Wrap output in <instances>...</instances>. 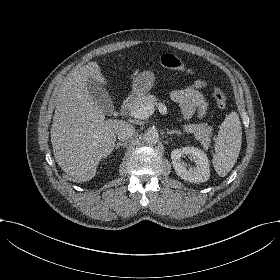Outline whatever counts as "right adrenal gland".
Wrapping results in <instances>:
<instances>
[{
  "mask_svg": "<svg viewBox=\"0 0 280 280\" xmlns=\"http://www.w3.org/2000/svg\"><path fill=\"white\" fill-rule=\"evenodd\" d=\"M126 145H127V142H123V143H122V142H118V143H115V144H114V149L117 150V149H119L120 147H123V148H124V147H126Z\"/></svg>",
  "mask_w": 280,
  "mask_h": 280,
  "instance_id": "1",
  "label": "right adrenal gland"
}]
</instances>
